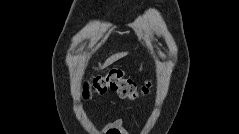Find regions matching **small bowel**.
Wrapping results in <instances>:
<instances>
[{"mask_svg": "<svg viewBox=\"0 0 239 134\" xmlns=\"http://www.w3.org/2000/svg\"><path fill=\"white\" fill-rule=\"evenodd\" d=\"M105 131L107 134H127L123 128V121L121 119H116L111 122Z\"/></svg>", "mask_w": 239, "mask_h": 134, "instance_id": "c3829d8e", "label": "small bowel"}]
</instances>
